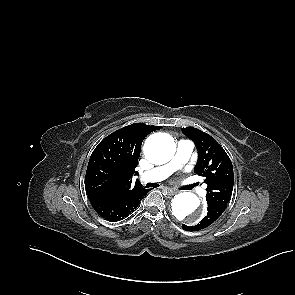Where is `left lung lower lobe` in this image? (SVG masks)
Instances as JSON below:
<instances>
[{
	"label": "left lung lower lobe",
	"instance_id": "left-lung-lower-lobe-1",
	"mask_svg": "<svg viewBox=\"0 0 295 295\" xmlns=\"http://www.w3.org/2000/svg\"><path fill=\"white\" fill-rule=\"evenodd\" d=\"M207 205V215L198 224L194 226H187L184 224L182 225V228L186 231L202 230L214 223L221 216V214L225 211L227 207V205L225 204L215 202H208Z\"/></svg>",
	"mask_w": 295,
	"mask_h": 295
}]
</instances>
